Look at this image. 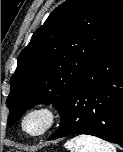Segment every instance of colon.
<instances>
[{
  "instance_id": "colon-1",
  "label": "colon",
  "mask_w": 123,
  "mask_h": 152,
  "mask_svg": "<svg viewBox=\"0 0 123 152\" xmlns=\"http://www.w3.org/2000/svg\"><path fill=\"white\" fill-rule=\"evenodd\" d=\"M4 152H18V151H16V150H9V149H7V150H5Z\"/></svg>"
}]
</instances>
